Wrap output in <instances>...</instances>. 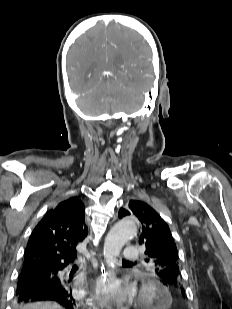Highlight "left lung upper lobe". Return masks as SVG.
I'll use <instances>...</instances> for the list:
<instances>
[{"label": "left lung upper lobe", "mask_w": 232, "mask_h": 309, "mask_svg": "<svg viewBox=\"0 0 232 309\" xmlns=\"http://www.w3.org/2000/svg\"><path fill=\"white\" fill-rule=\"evenodd\" d=\"M128 215H135L140 221L139 244L145 249V261L154 265L164 285L174 291L181 289L184 296L178 250L166 222L153 208L138 200L129 201L127 208L119 210V218Z\"/></svg>", "instance_id": "5c2ea615"}]
</instances>
